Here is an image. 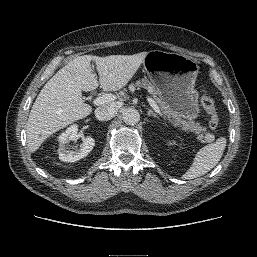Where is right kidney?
Listing matches in <instances>:
<instances>
[{
    "label": "right kidney",
    "instance_id": "right-kidney-1",
    "mask_svg": "<svg viewBox=\"0 0 257 257\" xmlns=\"http://www.w3.org/2000/svg\"><path fill=\"white\" fill-rule=\"evenodd\" d=\"M77 131V125H71L58 137V154L59 159L63 162H75L86 157L95 145V140L91 136H86L82 139L83 143L80 148L70 150L68 144L77 139Z\"/></svg>",
    "mask_w": 257,
    "mask_h": 257
}]
</instances>
